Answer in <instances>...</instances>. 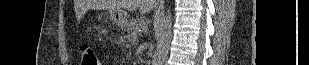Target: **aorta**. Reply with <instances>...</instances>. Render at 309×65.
Here are the masks:
<instances>
[{
    "mask_svg": "<svg viewBox=\"0 0 309 65\" xmlns=\"http://www.w3.org/2000/svg\"><path fill=\"white\" fill-rule=\"evenodd\" d=\"M157 33V46L152 65H164L172 39V15L170 9H168L166 14L160 19L157 25Z\"/></svg>",
    "mask_w": 309,
    "mask_h": 65,
    "instance_id": "aorta-1",
    "label": "aorta"
}]
</instances>
